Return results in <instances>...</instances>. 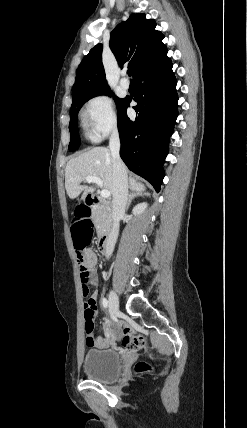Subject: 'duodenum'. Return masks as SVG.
I'll return each instance as SVG.
<instances>
[{"instance_id":"obj_1","label":"duodenum","mask_w":247,"mask_h":428,"mask_svg":"<svg viewBox=\"0 0 247 428\" xmlns=\"http://www.w3.org/2000/svg\"><path fill=\"white\" fill-rule=\"evenodd\" d=\"M86 202H87V205L92 208L101 204L102 201L97 196L88 195ZM113 242L114 240L111 234L109 233L103 234L100 237L98 242L99 251L102 253H106L109 250V248L113 245Z\"/></svg>"}]
</instances>
